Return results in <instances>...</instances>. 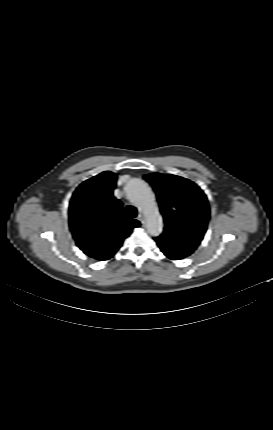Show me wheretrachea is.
Instances as JSON below:
<instances>
[{
	"instance_id": "1",
	"label": "trachea",
	"mask_w": 273,
	"mask_h": 430,
	"mask_svg": "<svg viewBox=\"0 0 273 430\" xmlns=\"http://www.w3.org/2000/svg\"><path fill=\"white\" fill-rule=\"evenodd\" d=\"M137 216V209L133 206H127L125 208V218L131 219Z\"/></svg>"
}]
</instances>
